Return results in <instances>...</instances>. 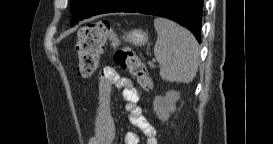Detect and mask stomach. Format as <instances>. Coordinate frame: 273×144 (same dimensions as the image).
<instances>
[{
    "mask_svg": "<svg viewBox=\"0 0 273 144\" xmlns=\"http://www.w3.org/2000/svg\"><path fill=\"white\" fill-rule=\"evenodd\" d=\"M124 40L137 46L145 45L148 41L147 33L140 29H134L125 34Z\"/></svg>",
    "mask_w": 273,
    "mask_h": 144,
    "instance_id": "1",
    "label": "stomach"
}]
</instances>
